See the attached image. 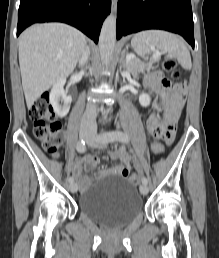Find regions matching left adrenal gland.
I'll use <instances>...</instances> for the list:
<instances>
[{"label": "left adrenal gland", "mask_w": 219, "mask_h": 258, "mask_svg": "<svg viewBox=\"0 0 219 258\" xmlns=\"http://www.w3.org/2000/svg\"><path fill=\"white\" fill-rule=\"evenodd\" d=\"M125 52L123 53V55H122V65L124 66V67H126V62H125Z\"/></svg>", "instance_id": "left-adrenal-gland-1"}]
</instances>
